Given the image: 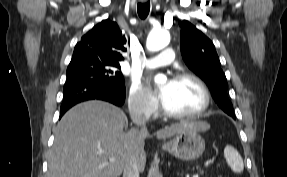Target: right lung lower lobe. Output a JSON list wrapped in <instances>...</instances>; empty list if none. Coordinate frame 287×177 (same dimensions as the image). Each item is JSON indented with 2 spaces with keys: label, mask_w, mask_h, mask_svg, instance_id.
Wrapping results in <instances>:
<instances>
[{
  "label": "right lung lower lobe",
  "mask_w": 287,
  "mask_h": 177,
  "mask_svg": "<svg viewBox=\"0 0 287 177\" xmlns=\"http://www.w3.org/2000/svg\"><path fill=\"white\" fill-rule=\"evenodd\" d=\"M64 96L60 108V118L72 106L87 100H104L121 106L125 101V85L108 82L91 76L68 78L63 88Z\"/></svg>",
  "instance_id": "98d812e1"
}]
</instances>
